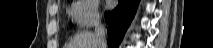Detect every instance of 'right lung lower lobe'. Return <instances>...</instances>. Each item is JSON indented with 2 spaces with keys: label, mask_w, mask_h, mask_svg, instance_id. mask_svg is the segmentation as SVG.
<instances>
[{
  "label": "right lung lower lobe",
  "mask_w": 213,
  "mask_h": 48,
  "mask_svg": "<svg viewBox=\"0 0 213 48\" xmlns=\"http://www.w3.org/2000/svg\"><path fill=\"white\" fill-rule=\"evenodd\" d=\"M139 0H119L118 6L109 12H105L108 28V46L118 48L125 31L130 25L138 6Z\"/></svg>",
  "instance_id": "1"
}]
</instances>
